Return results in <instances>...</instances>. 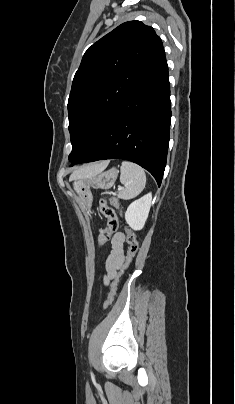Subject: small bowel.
I'll return each mask as SVG.
<instances>
[{
  "label": "small bowel",
  "instance_id": "obj_1",
  "mask_svg": "<svg viewBox=\"0 0 235 404\" xmlns=\"http://www.w3.org/2000/svg\"><path fill=\"white\" fill-rule=\"evenodd\" d=\"M125 258V235L123 232H117L111 239V251L105 261V285L115 277Z\"/></svg>",
  "mask_w": 235,
  "mask_h": 404
}]
</instances>
